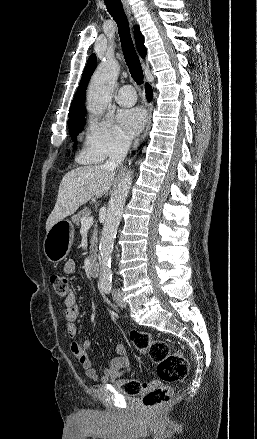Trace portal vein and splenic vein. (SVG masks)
I'll use <instances>...</instances> for the list:
<instances>
[{
	"label": "portal vein and splenic vein",
	"mask_w": 257,
	"mask_h": 439,
	"mask_svg": "<svg viewBox=\"0 0 257 439\" xmlns=\"http://www.w3.org/2000/svg\"><path fill=\"white\" fill-rule=\"evenodd\" d=\"M92 224H93V218L92 217H86V218H83L81 220L82 228H90Z\"/></svg>",
	"instance_id": "18ae733b"
}]
</instances>
